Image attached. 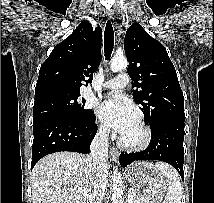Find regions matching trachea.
<instances>
[{
    "mask_svg": "<svg viewBox=\"0 0 214 203\" xmlns=\"http://www.w3.org/2000/svg\"><path fill=\"white\" fill-rule=\"evenodd\" d=\"M114 47V31L110 21H107L104 31V53L106 60H109Z\"/></svg>",
    "mask_w": 214,
    "mask_h": 203,
    "instance_id": "obj_1",
    "label": "trachea"
}]
</instances>
